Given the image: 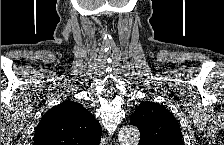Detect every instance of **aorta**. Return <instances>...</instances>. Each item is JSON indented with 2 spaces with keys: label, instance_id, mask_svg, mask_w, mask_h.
Returning <instances> with one entry per match:
<instances>
[{
  "label": "aorta",
  "instance_id": "1",
  "mask_svg": "<svg viewBox=\"0 0 224 145\" xmlns=\"http://www.w3.org/2000/svg\"><path fill=\"white\" fill-rule=\"evenodd\" d=\"M139 139V130L130 125L123 126L118 134L120 145H138Z\"/></svg>",
  "mask_w": 224,
  "mask_h": 145
}]
</instances>
